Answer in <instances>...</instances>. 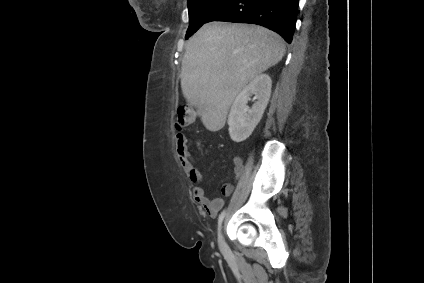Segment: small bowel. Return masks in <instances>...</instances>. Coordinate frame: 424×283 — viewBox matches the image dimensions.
I'll return each instance as SVG.
<instances>
[{"instance_id": "obj_1", "label": "small bowel", "mask_w": 424, "mask_h": 283, "mask_svg": "<svg viewBox=\"0 0 424 283\" xmlns=\"http://www.w3.org/2000/svg\"><path fill=\"white\" fill-rule=\"evenodd\" d=\"M177 154L180 163L182 164L186 174L190 180L195 184L192 192L195 202L202 207L210 216L215 217L219 210L223 207L224 201L222 198L209 199L204 188L199 186L202 182L203 177L199 169L196 167L194 162L190 159L187 146L186 138L182 134L176 135ZM234 176L235 178L241 177L243 174V161L239 156L234 157ZM233 189L231 183H226L222 187V194L228 196Z\"/></svg>"}]
</instances>
